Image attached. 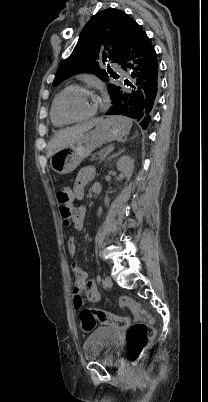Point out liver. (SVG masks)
I'll return each mask as SVG.
<instances>
[{
	"mask_svg": "<svg viewBox=\"0 0 208 402\" xmlns=\"http://www.w3.org/2000/svg\"><path fill=\"white\" fill-rule=\"evenodd\" d=\"M103 120H92V122H88V124H82V126H73V128H65V130H60V132H56L54 134L51 142L48 144V158L58 152V150H62V148H66L67 144H74L80 138H83L85 132L88 130H92L94 126L100 124Z\"/></svg>",
	"mask_w": 208,
	"mask_h": 402,
	"instance_id": "obj_1",
	"label": "liver"
}]
</instances>
